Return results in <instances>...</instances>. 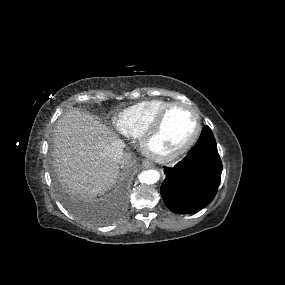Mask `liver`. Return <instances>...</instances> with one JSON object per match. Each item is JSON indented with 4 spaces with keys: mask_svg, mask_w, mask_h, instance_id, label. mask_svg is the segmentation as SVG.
Returning <instances> with one entry per match:
<instances>
[{
    "mask_svg": "<svg viewBox=\"0 0 285 285\" xmlns=\"http://www.w3.org/2000/svg\"><path fill=\"white\" fill-rule=\"evenodd\" d=\"M116 135L88 113L71 110L54 130V162L58 176L72 192L101 195L120 175L119 162L110 157ZM128 162L124 156L122 163Z\"/></svg>",
    "mask_w": 285,
    "mask_h": 285,
    "instance_id": "liver-1",
    "label": "liver"
}]
</instances>
